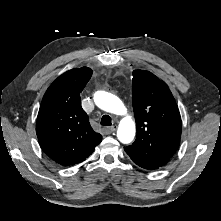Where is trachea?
Listing matches in <instances>:
<instances>
[{
	"instance_id": "trachea-1",
	"label": "trachea",
	"mask_w": 221,
	"mask_h": 221,
	"mask_svg": "<svg viewBox=\"0 0 221 221\" xmlns=\"http://www.w3.org/2000/svg\"><path fill=\"white\" fill-rule=\"evenodd\" d=\"M101 125L102 126H111L112 125V119L108 115H104L101 119Z\"/></svg>"
}]
</instances>
